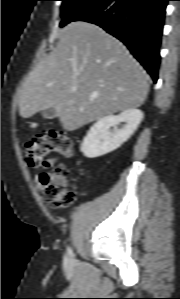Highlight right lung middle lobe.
<instances>
[{
  "label": "right lung middle lobe",
  "mask_w": 180,
  "mask_h": 299,
  "mask_svg": "<svg viewBox=\"0 0 180 299\" xmlns=\"http://www.w3.org/2000/svg\"><path fill=\"white\" fill-rule=\"evenodd\" d=\"M60 27L65 26L71 21H75L83 13L94 7L102 0H62Z\"/></svg>",
  "instance_id": "obj_1"
}]
</instances>
